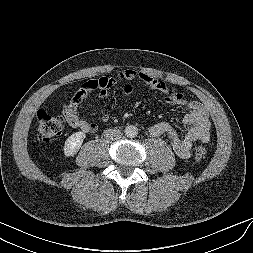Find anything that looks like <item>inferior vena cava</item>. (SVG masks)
<instances>
[{
    "label": "inferior vena cava",
    "mask_w": 253,
    "mask_h": 253,
    "mask_svg": "<svg viewBox=\"0 0 253 253\" xmlns=\"http://www.w3.org/2000/svg\"><path fill=\"white\" fill-rule=\"evenodd\" d=\"M104 137L108 140H118L122 137V133L119 129H107L104 131Z\"/></svg>",
    "instance_id": "obj_1"
}]
</instances>
